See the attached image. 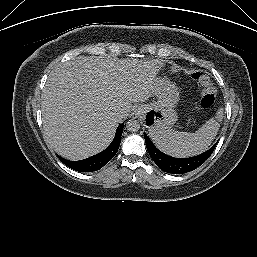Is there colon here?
<instances>
[{
    "mask_svg": "<svg viewBox=\"0 0 257 257\" xmlns=\"http://www.w3.org/2000/svg\"><path fill=\"white\" fill-rule=\"evenodd\" d=\"M192 79L200 86V106L203 109L212 107L217 95L216 86L208 76L200 72H194Z\"/></svg>",
    "mask_w": 257,
    "mask_h": 257,
    "instance_id": "obj_1",
    "label": "colon"
}]
</instances>
